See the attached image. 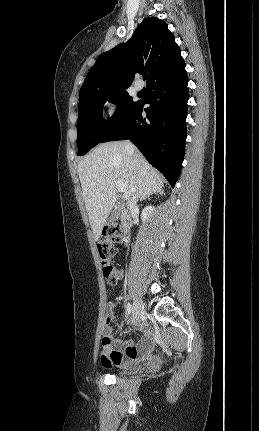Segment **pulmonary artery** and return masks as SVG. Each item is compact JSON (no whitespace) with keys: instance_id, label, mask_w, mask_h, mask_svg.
<instances>
[{"instance_id":"pulmonary-artery-1","label":"pulmonary artery","mask_w":259,"mask_h":431,"mask_svg":"<svg viewBox=\"0 0 259 431\" xmlns=\"http://www.w3.org/2000/svg\"><path fill=\"white\" fill-rule=\"evenodd\" d=\"M135 89L137 91H140V90L143 89V84H142V82L140 80H138V81L135 82Z\"/></svg>"}]
</instances>
